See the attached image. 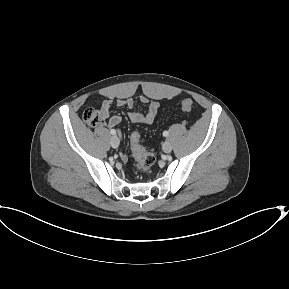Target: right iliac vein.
<instances>
[{
    "label": "right iliac vein",
    "mask_w": 289,
    "mask_h": 289,
    "mask_svg": "<svg viewBox=\"0 0 289 289\" xmlns=\"http://www.w3.org/2000/svg\"><path fill=\"white\" fill-rule=\"evenodd\" d=\"M110 144L113 148H117L119 146V139L116 135H113L110 139Z\"/></svg>",
    "instance_id": "63e3f726"
}]
</instances>
